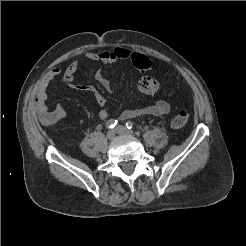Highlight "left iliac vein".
<instances>
[{
  "mask_svg": "<svg viewBox=\"0 0 246 246\" xmlns=\"http://www.w3.org/2000/svg\"><path fill=\"white\" fill-rule=\"evenodd\" d=\"M115 132L118 134L122 135H133L132 131H129L126 127L124 126H118L115 128Z\"/></svg>",
  "mask_w": 246,
  "mask_h": 246,
  "instance_id": "left-iliac-vein-1",
  "label": "left iliac vein"
}]
</instances>
